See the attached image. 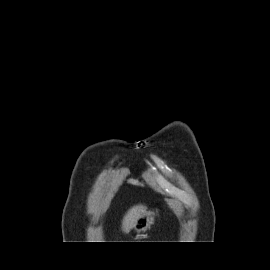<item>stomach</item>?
Masks as SVG:
<instances>
[{
    "label": "stomach",
    "mask_w": 270,
    "mask_h": 270,
    "mask_svg": "<svg viewBox=\"0 0 270 270\" xmlns=\"http://www.w3.org/2000/svg\"><path fill=\"white\" fill-rule=\"evenodd\" d=\"M154 211H145L136 221L133 229L140 233L146 231L154 223Z\"/></svg>",
    "instance_id": "stomach-1"
}]
</instances>
